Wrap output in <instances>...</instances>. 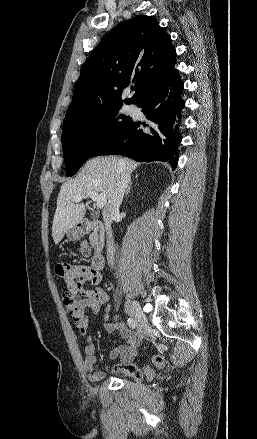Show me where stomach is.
Returning a JSON list of instances; mask_svg holds the SVG:
<instances>
[{"mask_svg": "<svg viewBox=\"0 0 257 439\" xmlns=\"http://www.w3.org/2000/svg\"><path fill=\"white\" fill-rule=\"evenodd\" d=\"M80 236V232L76 227H73L67 231V237L70 240H75Z\"/></svg>", "mask_w": 257, "mask_h": 439, "instance_id": "stomach-1", "label": "stomach"}]
</instances>
